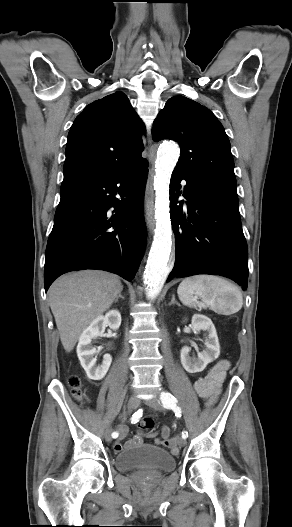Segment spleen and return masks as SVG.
<instances>
[{"label":"spleen","instance_id":"obj_1","mask_svg":"<svg viewBox=\"0 0 292 527\" xmlns=\"http://www.w3.org/2000/svg\"><path fill=\"white\" fill-rule=\"evenodd\" d=\"M177 294L180 301L188 307L208 306L218 313L233 314L243 305L239 288L213 275H196L183 279ZM198 297L201 298V304L197 303Z\"/></svg>","mask_w":292,"mask_h":527}]
</instances>
